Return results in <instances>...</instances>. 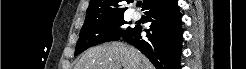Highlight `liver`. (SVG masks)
Instances as JSON below:
<instances>
[{"instance_id": "liver-1", "label": "liver", "mask_w": 246, "mask_h": 69, "mask_svg": "<svg viewBox=\"0 0 246 69\" xmlns=\"http://www.w3.org/2000/svg\"><path fill=\"white\" fill-rule=\"evenodd\" d=\"M75 69H154L134 47L121 42L104 43L88 49Z\"/></svg>"}]
</instances>
